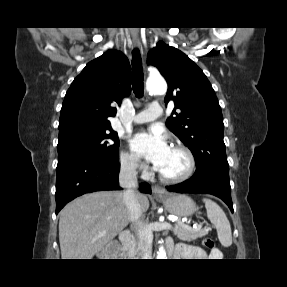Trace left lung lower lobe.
<instances>
[{
  "mask_svg": "<svg viewBox=\"0 0 287 287\" xmlns=\"http://www.w3.org/2000/svg\"><path fill=\"white\" fill-rule=\"evenodd\" d=\"M166 188L170 192L177 193L212 194L222 199L233 212L229 177L218 174L199 178L191 177L183 183Z\"/></svg>",
  "mask_w": 287,
  "mask_h": 287,
  "instance_id": "1",
  "label": "left lung lower lobe"
}]
</instances>
